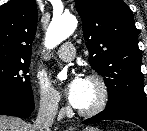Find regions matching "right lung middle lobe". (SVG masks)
Listing matches in <instances>:
<instances>
[{
    "label": "right lung middle lobe",
    "mask_w": 147,
    "mask_h": 131,
    "mask_svg": "<svg viewBox=\"0 0 147 131\" xmlns=\"http://www.w3.org/2000/svg\"><path fill=\"white\" fill-rule=\"evenodd\" d=\"M30 60H10L0 58V93L18 97L33 96L29 72Z\"/></svg>",
    "instance_id": "obj_1"
}]
</instances>
